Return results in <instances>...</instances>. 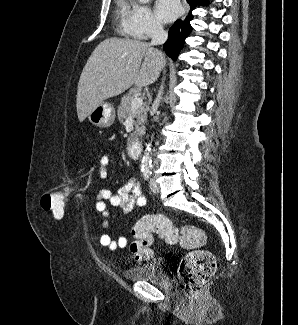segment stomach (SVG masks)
Here are the masks:
<instances>
[{
	"instance_id": "0dacf381",
	"label": "stomach",
	"mask_w": 298,
	"mask_h": 325,
	"mask_svg": "<svg viewBox=\"0 0 298 325\" xmlns=\"http://www.w3.org/2000/svg\"><path fill=\"white\" fill-rule=\"evenodd\" d=\"M115 116V108L111 102H101V104L93 108L92 112L87 114L88 120L92 124H95V126H100V128L111 126L115 120Z\"/></svg>"
}]
</instances>
